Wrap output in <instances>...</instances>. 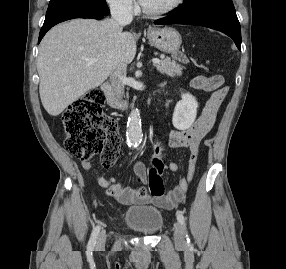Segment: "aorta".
<instances>
[{"instance_id": "aorta-1", "label": "aorta", "mask_w": 286, "mask_h": 269, "mask_svg": "<svg viewBox=\"0 0 286 269\" xmlns=\"http://www.w3.org/2000/svg\"><path fill=\"white\" fill-rule=\"evenodd\" d=\"M126 137L128 145L133 148L139 146L142 141L140 111L137 108L133 109L129 115Z\"/></svg>"}]
</instances>
